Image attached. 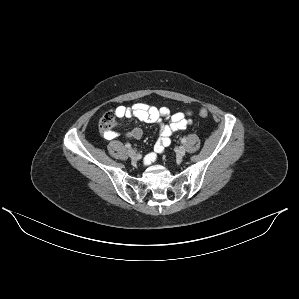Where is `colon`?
Here are the masks:
<instances>
[{"mask_svg": "<svg viewBox=\"0 0 299 299\" xmlns=\"http://www.w3.org/2000/svg\"><path fill=\"white\" fill-rule=\"evenodd\" d=\"M199 115L200 117L205 118L208 116V111L206 109H201ZM115 124L116 115L110 112L103 115L99 120V127L105 133L113 131Z\"/></svg>", "mask_w": 299, "mask_h": 299, "instance_id": "1", "label": "colon"}]
</instances>
